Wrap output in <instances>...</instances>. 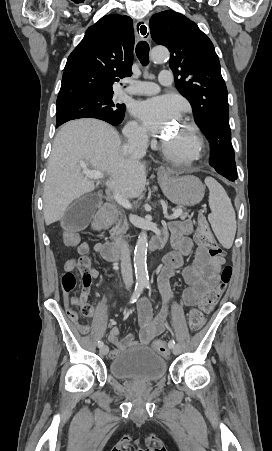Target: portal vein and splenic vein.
<instances>
[{
  "label": "portal vein and splenic vein",
  "mask_w": 272,
  "mask_h": 451,
  "mask_svg": "<svg viewBox=\"0 0 272 451\" xmlns=\"http://www.w3.org/2000/svg\"><path fill=\"white\" fill-rule=\"evenodd\" d=\"M83 174H85L86 178H90V180H100V178H104V174H102L100 170H83ZM113 198H115L119 206H123V208H126V210H131L132 206L129 200H125V198H123V196H120V194H114ZM181 212L182 210H176V212H174V214L170 216L171 220L178 218Z\"/></svg>",
  "instance_id": "1"
}]
</instances>
